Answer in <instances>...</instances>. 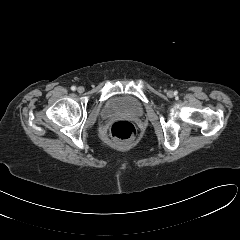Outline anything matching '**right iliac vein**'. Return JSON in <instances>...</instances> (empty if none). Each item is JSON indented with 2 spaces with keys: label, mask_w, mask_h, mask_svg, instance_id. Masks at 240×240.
Wrapping results in <instances>:
<instances>
[{
  "label": "right iliac vein",
  "mask_w": 240,
  "mask_h": 240,
  "mask_svg": "<svg viewBox=\"0 0 240 240\" xmlns=\"http://www.w3.org/2000/svg\"><path fill=\"white\" fill-rule=\"evenodd\" d=\"M77 91H78L79 93H83V92H84V88H83L82 86H79V87L77 88Z\"/></svg>",
  "instance_id": "right-iliac-vein-1"
}]
</instances>
